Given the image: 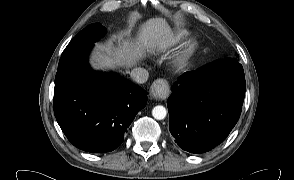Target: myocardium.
I'll return each mask as SVG.
<instances>
[{"instance_id":"1","label":"myocardium","mask_w":294,"mask_h":180,"mask_svg":"<svg viewBox=\"0 0 294 180\" xmlns=\"http://www.w3.org/2000/svg\"><path fill=\"white\" fill-rule=\"evenodd\" d=\"M196 43L192 40H189L185 43L182 51L180 52V55L178 57V60L180 62L185 61L195 50Z\"/></svg>"}]
</instances>
